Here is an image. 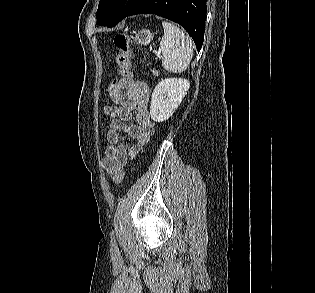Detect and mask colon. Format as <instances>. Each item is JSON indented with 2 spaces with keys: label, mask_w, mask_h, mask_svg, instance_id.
Instances as JSON below:
<instances>
[{
  "label": "colon",
  "mask_w": 315,
  "mask_h": 293,
  "mask_svg": "<svg viewBox=\"0 0 315 293\" xmlns=\"http://www.w3.org/2000/svg\"><path fill=\"white\" fill-rule=\"evenodd\" d=\"M114 44L118 48L119 55L117 58V63L119 66V71L122 77L131 78V49L129 46V38L125 33H119L114 37ZM142 59H145L144 53H141ZM120 83L118 78L110 79V86L106 88L107 94H112L113 92H117L119 87L117 86ZM124 170H120L112 176V181L114 184L119 185L124 178Z\"/></svg>",
  "instance_id": "colon-1"
}]
</instances>
